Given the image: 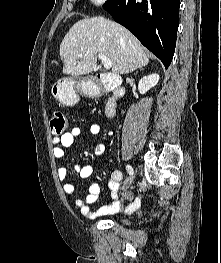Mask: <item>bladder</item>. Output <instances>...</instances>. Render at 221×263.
Returning a JSON list of instances; mask_svg holds the SVG:
<instances>
[{"label":"bladder","mask_w":221,"mask_h":263,"mask_svg":"<svg viewBox=\"0 0 221 263\" xmlns=\"http://www.w3.org/2000/svg\"><path fill=\"white\" fill-rule=\"evenodd\" d=\"M122 224H125V225H128L129 224V221L126 220V219H120L119 220Z\"/></svg>","instance_id":"31cf9c89"}]
</instances>
